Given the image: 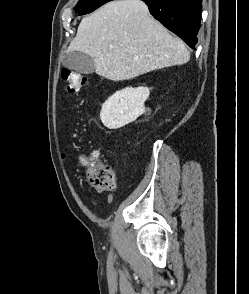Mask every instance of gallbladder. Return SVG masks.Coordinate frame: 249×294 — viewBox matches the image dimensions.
Returning <instances> with one entry per match:
<instances>
[{
    "label": "gallbladder",
    "mask_w": 249,
    "mask_h": 294,
    "mask_svg": "<svg viewBox=\"0 0 249 294\" xmlns=\"http://www.w3.org/2000/svg\"><path fill=\"white\" fill-rule=\"evenodd\" d=\"M62 64L70 70L83 74H92L95 71L92 57L79 51L67 53L63 58Z\"/></svg>",
    "instance_id": "obj_1"
}]
</instances>
